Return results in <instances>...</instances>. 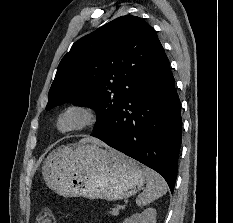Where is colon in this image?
Instances as JSON below:
<instances>
[{
	"label": "colon",
	"instance_id": "1",
	"mask_svg": "<svg viewBox=\"0 0 233 223\" xmlns=\"http://www.w3.org/2000/svg\"><path fill=\"white\" fill-rule=\"evenodd\" d=\"M38 223H56L50 210H43L37 220Z\"/></svg>",
	"mask_w": 233,
	"mask_h": 223
}]
</instances>
